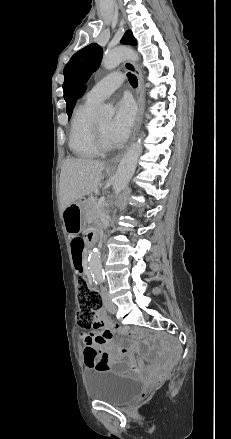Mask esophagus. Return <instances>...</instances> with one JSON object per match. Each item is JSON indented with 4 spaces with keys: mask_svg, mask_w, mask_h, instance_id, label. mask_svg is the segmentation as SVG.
Segmentation results:
<instances>
[{
    "mask_svg": "<svg viewBox=\"0 0 231 439\" xmlns=\"http://www.w3.org/2000/svg\"><path fill=\"white\" fill-rule=\"evenodd\" d=\"M124 67L132 72L133 74L136 75L137 80H138V87L136 90V101L138 104V114H137V119H136V125L134 128V132L133 135L131 137L130 143L129 145L126 147V149L130 146V144L134 141L138 131H139V127H140V121H141V112H142V107H143V78H142V74L140 72V70L137 68V66L135 65L134 62L132 61H126L124 63ZM123 150L121 151L115 158L109 160L107 162V167L111 168V169H115L117 166L118 161L120 160V158L123 156L124 152L126 151Z\"/></svg>",
    "mask_w": 231,
    "mask_h": 439,
    "instance_id": "obj_1",
    "label": "esophagus"
}]
</instances>
